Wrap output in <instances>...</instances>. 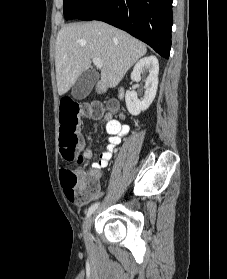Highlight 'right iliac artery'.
Masks as SVG:
<instances>
[{
	"label": "right iliac artery",
	"instance_id": "82829eb1",
	"mask_svg": "<svg viewBox=\"0 0 227 279\" xmlns=\"http://www.w3.org/2000/svg\"><path fill=\"white\" fill-rule=\"evenodd\" d=\"M98 205L99 203L91 205V207L88 209L87 217H89L97 209Z\"/></svg>",
	"mask_w": 227,
	"mask_h": 279
}]
</instances>
